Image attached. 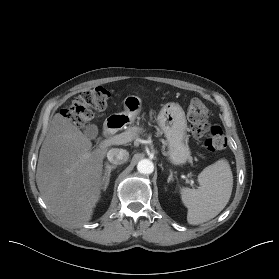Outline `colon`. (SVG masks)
Returning <instances> with one entry per match:
<instances>
[{
  "label": "colon",
  "mask_w": 279,
  "mask_h": 279,
  "mask_svg": "<svg viewBox=\"0 0 279 279\" xmlns=\"http://www.w3.org/2000/svg\"><path fill=\"white\" fill-rule=\"evenodd\" d=\"M111 98V92L98 86L80 92L72 104L62 111V116L79 125H86L93 116V111L105 110ZM208 108L199 99H192L188 106V119L191 132L196 137H205L204 146L209 151H217L226 147L227 138L219 124L208 121Z\"/></svg>",
  "instance_id": "1"
}]
</instances>
